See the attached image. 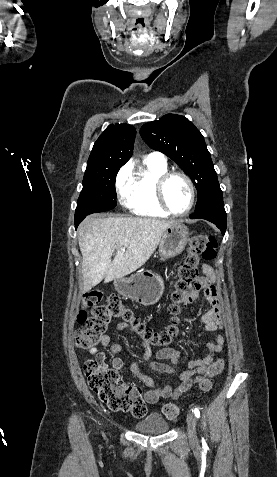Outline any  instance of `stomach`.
<instances>
[{
	"label": "stomach",
	"instance_id": "1",
	"mask_svg": "<svg viewBox=\"0 0 277 477\" xmlns=\"http://www.w3.org/2000/svg\"><path fill=\"white\" fill-rule=\"evenodd\" d=\"M189 237L187 226L181 222L167 228L159 243L161 258L167 259L180 254L189 242ZM114 285L121 295L144 306L158 302L164 290L161 278L150 271L139 272L128 278H118L114 281Z\"/></svg>",
	"mask_w": 277,
	"mask_h": 477
}]
</instances>
